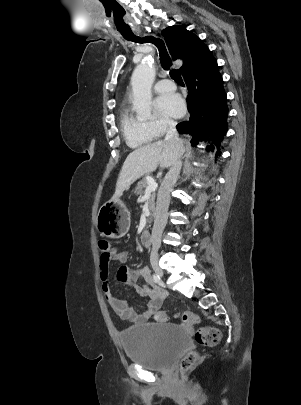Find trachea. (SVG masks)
I'll return each instance as SVG.
<instances>
[{
  "label": "trachea",
  "instance_id": "1",
  "mask_svg": "<svg viewBox=\"0 0 301 405\" xmlns=\"http://www.w3.org/2000/svg\"><path fill=\"white\" fill-rule=\"evenodd\" d=\"M126 40L132 41L135 43H153L158 48L160 61H161L163 68L165 70H170L171 78L175 82H177L179 85L184 86V82L182 80V77H181L179 71H177L175 69H170L172 66V61L168 54L166 46L161 39L155 38L153 36H145V37L133 36V37H126Z\"/></svg>",
  "mask_w": 301,
  "mask_h": 405
}]
</instances>
